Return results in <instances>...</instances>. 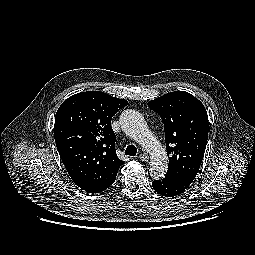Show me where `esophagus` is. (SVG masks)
<instances>
[{"label": "esophagus", "instance_id": "obj_1", "mask_svg": "<svg viewBox=\"0 0 255 255\" xmlns=\"http://www.w3.org/2000/svg\"><path fill=\"white\" fill-rule=\"evenodd\" d=\"M139 159L142 161H148L149 160V156L146 153H142L139 155Z\"/></svg>", "mask_w": 255, "mask_h": 255}]
</instances>
